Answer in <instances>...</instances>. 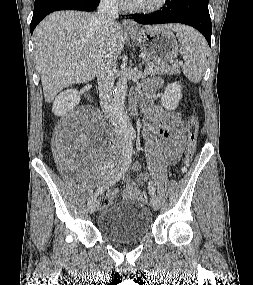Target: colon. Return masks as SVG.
<instances>
[{"label": "colon", "mask_w": 253, "mask_h": 285, "mask_svg": "<svg viewBox=\"0 0 253 285\" xmlns=\"http://www.w3.org/2000/svg\"><path fill=\"white\" fill-rule=\"evenodd\" d=\"M198 132H199V122L196 117H192L187 123V145L185 156L183 160V164L179 169L181 174L185 173L189 163L191 162L196 147H197V139H198ZM139 199L141 202L146 203L148 201V193L142 192L139 195ZM111 199L107 196L103 197L100 201L101 206H107L110 204Z\"/></svg>", "instance_id": "colon-1"}]
</instances>
